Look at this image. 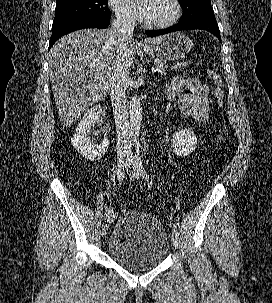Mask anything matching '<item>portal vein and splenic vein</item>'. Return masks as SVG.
<instances>
[{
    "instance_id": "obj_1",
    "label": "portal vein and splenic vein",
    "mask_w": 272,
    "mask_h": 303,
    "mask_svg": "<svg viewBox=\"0 0 272 303\" xmlns=\"http://www.w3.org/2000/svg\"><path fill=\"white\" fill-rule=\"evenodd\" d=\"M158 71V67H153L152 68V72H157Z\"/></svg>"
}]
</instances>
